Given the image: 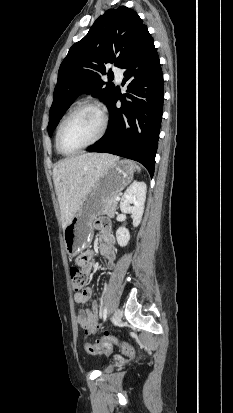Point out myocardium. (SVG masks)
I'll use <instances>...</instances> for the list:
<instances>
[{"label":"myocardium","instance_id":"f54148a6","mask_svg":"<svg viewBox=\"0 0 233 413\" xmlns=\"http://www.w3.org/2000/svg\"><path fill=\"white\" fill-rule=\"evenodd\" d=\"M85 108H93L95 110H97L101 116V127L99 130V133L97 134V136L90 141L89 143L74 149V150H65L62 146V132L65 128V126L67 125V123L73 118V116H75L79 111H81L82 109ZM108 127V117H107V113L105 111V109L103 108V106L97 102H93V101H85L82 102L80 104H78L77 106H75L66 116L65 118L62 120L58 130H57V135H56V145L57 148L59 150L60 153L64 154V155H73L75 153H78L92 145H94L95 143H97L106 133Z\"/></svg>","mask_w":233,"mask_h":413}]
</instances>
